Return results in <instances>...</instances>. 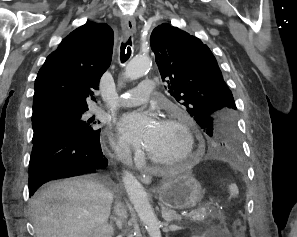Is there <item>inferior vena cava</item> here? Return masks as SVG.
Segmentation results:
<instances>
[{
    "mask_svg": "<svg viewBox=\"0 0 297 237\" xmlns=\"http://www.w3.org/2000/svg\"><path fill=\"white\" fill-rule=\"evenodd\" d=\"M115 212L121 219H124L127 217V211L124 205L120 202L116 203Z\"/></svg>",
    "mask_w": 297,
    "mask_h": 237,
    "instance_id": "obj_1",
    "label": "inferior vena cava"
}]
</instances>
